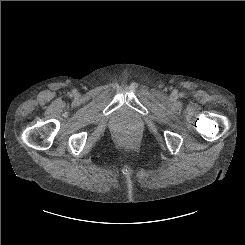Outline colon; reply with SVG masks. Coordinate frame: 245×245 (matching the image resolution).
<instances>
[{
    "instance_id": "1",
    "label": "colon",
    "mask_w": 245,
    "mask_h": 245,
    "mask_svg": "<svg viewBox=\"0 0 245 245\" xmlns=\"http://www.w3.org/2000/svg\"><path fill=\"white\" fill-rule=\"evenodd\" d=\"M119 137H120V139H122V140H126V139H128V134H127L126 131H122V132L120 133Z\"/></svg>"
}]
</instances>
